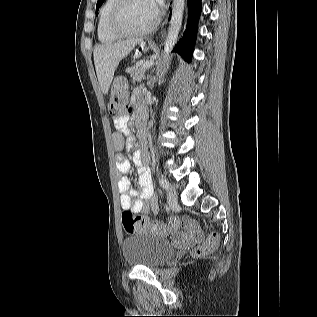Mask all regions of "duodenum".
<instances>
[{
  "label": "duodenum",
  "instance_id": "1",
  "mask_svg": "<svg viewBox=\"0 0 317 317\" xmlns=\"http://www.w3.org/2000/svg\"><path fill=\"white\" fill-rule=\"evenodd\" d=\"M138 132L141 138H144V132L142 128H138Z\"/></svg>",
  "mask_w": 317,
  "mask_h": 317
}]
</instances>
